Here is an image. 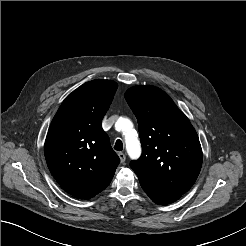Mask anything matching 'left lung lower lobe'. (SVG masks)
<instances>
[{
    "mask_svg": "<svg viewBox=\"0 0 246 246\" xmlns=\"http://www.w3.org/2000/svg\"><path fill=\"white\" fill-rule=\"evenodd\" d=\"M139 181L141 187L146 192V194L151 198V200L160 205L170 204L178 200L182 195L177 192L163 189L147 181H143V180H139Z\"/></svg>",
    "mask_w": 246,
    "mask_h": 246,
    "instance_id": "1",
    "label": "left lung lower lobe"
}]
</instances>
